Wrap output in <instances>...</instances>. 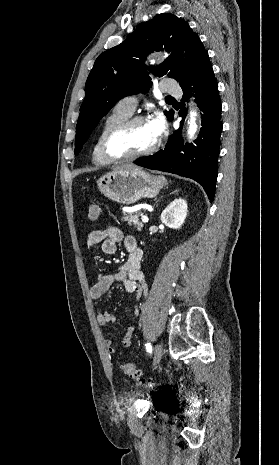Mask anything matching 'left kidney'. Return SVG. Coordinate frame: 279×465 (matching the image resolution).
Returning <instances> with one entry per match:
<instances>
[{"label":"left kidney","mask_w":279,"mask_h":465,"mask_svg":"<svg viewBox=\"0 0 279 465\" xmlns=\"http://www.w3.org/2000/svg\"><path fill=\"white\" fill-rule=\"evenodd\" d=\"M187 202L182 198L175 199L162 212L161 221L169 228L180 229L187 216Z\"/></svg>","instance_id":"5707ae66"}]
</instances>
